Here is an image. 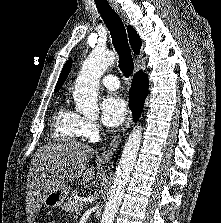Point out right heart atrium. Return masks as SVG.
Here are the masks:
<instances>
[{"instance_id": "right-heart-atrium-1", "label": "right heart atrium", "mask_w": 221, "mask_h": 223, "mask_svg": "<svg viewBox=\"0 0 221 223\" xmlns=\"http://www.w3.org/2000/svg\"><path fill=\"white\" fill-rule=\"evenodd\" d=\"M79 131L82 137L92 139L98 134V126L94 121L80 117Z\"/></svg>"}]
</instances>
